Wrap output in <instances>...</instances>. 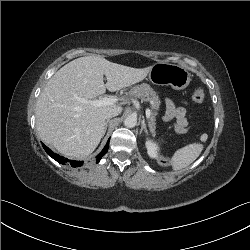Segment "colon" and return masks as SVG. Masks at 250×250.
<instances>
[{
	"mask_svg": "<svg viewBox=\"0 0 250 250\" xmlns=\"http://www.w3.org/2000/svg\"><path fill=\"white\" fill-rule=\"evenodd\" d=\"M205 98V93L204 90L201 88H196L194 89V91L192 92V100L196 103H201L203 102ZM163 152V147L162 146H157L156 150L153 151V156L156 157V162L159 165H162L164 167H172L175 165L176 160L174 157L172 156H165L164 154H160Z\"/></svg>",
	"mask_w": 250,
	"mask_h": 250,
	"instance_id": "colon-1",
	"label": "colon"
}]
</instances>
